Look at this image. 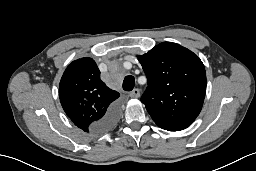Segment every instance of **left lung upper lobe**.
<instances>
[{"instance_id": "5c2ea615", "label": "left lung upper lobe", "mask_w": 256, "mask_h": 171, "mask_svg": "<svg viewBox=\"0 0 256 171\" xmlns=\"http://www.w3.org/2000/svg\"><path fill=\"white\" fill-rule=\"evenodd\" d=\"M138 60L148 80L141 101L154 122L168 131L187 128L199 115L206 93L202 61L171 42L155 46Z\"/></svg>"}]
</instances>
